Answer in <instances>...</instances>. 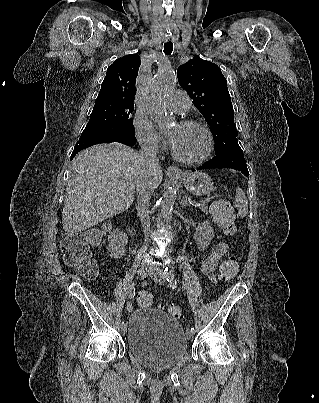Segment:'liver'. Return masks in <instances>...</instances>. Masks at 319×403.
I'll use <instances>...</instances> for the list:
<instances>
[{"label": "liver", "instance_id": "1", "mask_svg": "<svg viewBox=\"0 0 319 403\" xmlns=\"http://www.w3.org/2000/svg\"><path fill=\"white\" fill-rule=\"evenodd\" d=\"M146 172L140 153L121 143L95 145L78 153L66 188L64 231L81 232L127 210ZM162 177L160 167L153 171L155 187Z\"/></svg>", "mask_w": 319, "mask_h": 403}]
</instances>
